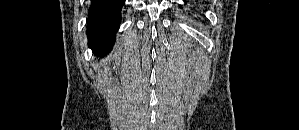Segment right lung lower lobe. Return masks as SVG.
<instances>
[{
  "label": "right lung lower lobe",
  "instance_id": "obj_1",
  "mask_svg": "<svg viewBox=\"0 0 299 130\" xmlns=\"http://www.w3.org/2000/svg\"><path fill=\"white\" fill-rule=\"evenodd\" d=\"M125 0H92L87 23L88 46L99 56L112 49Z\"/></svg>",
  "mask_w": 299,
  "mask_h": 130
}]
</instances>
